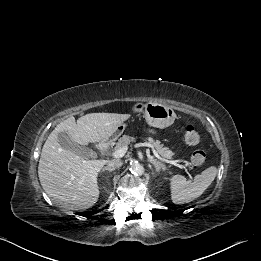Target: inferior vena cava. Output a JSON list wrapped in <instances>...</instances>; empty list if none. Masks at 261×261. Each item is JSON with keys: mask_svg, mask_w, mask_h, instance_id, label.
I'll use <instances>...</instances> for the list:
<instances>
[{"mask_svg": "<svg viewBox=\"0 0 261 261\" xmlns=\"http://www.w3.org/2000/svg\"><path fill=\"white\" fill-rule=\"evenodd\" d=\"M122 166V161L120 159H113L108 162V167L112 168L113 170Z\"/></svg>", "mask_w": 261, "mask_h": 261, "instance_id": "inferior-vena-cava-1", "label": "inferior vena cava"}]
</instances>
